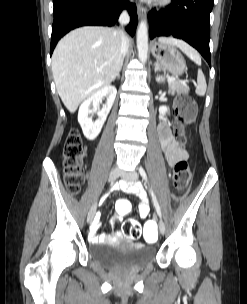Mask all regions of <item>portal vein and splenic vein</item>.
Returning <instances> with one entry per match:
<instances>
[{
	"instance_id": "portal-vein-and-splenic-vein-1",
	"label": "portal vein and splenic vein",
	"mask_w": 247,
	"mask_h": 304,
	"mask_svg": "<svg viewBox=\"0 0 247 304\" xmlns=\"http://www.w3.org/2000/svg\"><path fill=\"white\" fill-rule=\"evenodd\" d=\"M175 79V77H168V81H174Z\"/></svg>"
}]
</instances>
